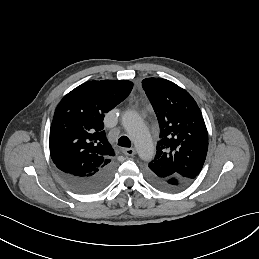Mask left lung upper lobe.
<instances>
[{
    "instance_id": "1",
    "label": "left lung upper lobe",
    "mask_w": 259,
    "mask_h": 259,
    "mask_svg": "<svg viewBox=\"0 0 259 259\" xmlns=\"http://www.w3.org/2000/svg\"><path fill=\"white\" fill-rule=\"evenodd\" d=\"M142 87L160 127L156 156L148 172L163 179L193 181L208 150V132L197 103L186 90L166 79L147 78Z\"/></svg>"
}]
</instances>
